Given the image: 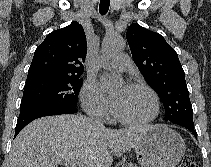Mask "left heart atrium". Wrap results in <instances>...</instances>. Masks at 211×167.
I'll return each mask as SVG.
<instances>
[{
    "mask_svg": "<svg viewBox=\"0 0 211 167\" xmlns=\"http://www.w3.org/2000/svg\"><path fill=\"white\" fill-rule=\"evenodd\" d=\"M107 87V82L105 80H103L100 84V88L102 91H105ZM127 87H122L121 89H119L117 92H115L113 95L110 96V104L111 107L117 111V109L119 108L121 101L124 97V94L126 92Z\"/></svg>",
    "mask_w": 211,
    "mask_h": 167,
    "instance_id": "39dd6f15",
    "label": "left heart atrium"
}]
</instances>
